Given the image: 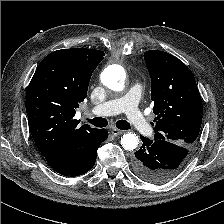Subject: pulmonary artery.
<instances>
[{
    "label": "pulmonary artery",
    "instance_id": "1",
    "mask_svg": "<svg viewBox=\"0 0 224 224\" xmlns=\"http://www.w3.org/2000/svg\"><path fill=\"white\" fill-rule=\"evenodd\" d=\"M142 94V86L139 82L131 85L127 94L123 97L111 99L96 106L92 113L99 116L116 115L125 112L130 124L142 135L150 134L152 128L147 118L138 109V103Z\"/></svg>",
    "mask_w": 224,
    "mask_h": 224
}]
</instances>
